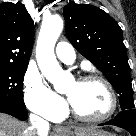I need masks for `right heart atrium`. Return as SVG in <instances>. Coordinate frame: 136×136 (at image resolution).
I'll return each instance as SVG.
<instances>
[{
	"mask_svg": "<svg viewBox=\"0 0 136 136\" xmlns=\"http://www.w3.org/2000/svg\"><path fill=\"white\" fill-rule=\"evenodd\" d=\"M23 98L26 107L43 118L55 120L64 112L63 101L49 89L41 75L34 70L25 73Z\"/></svg>",
	"mask_w": 136,
	"mask_h": 136,
	"instance_id": "obj_1",
	"label": "right heart atrium"
}]
</instances>
